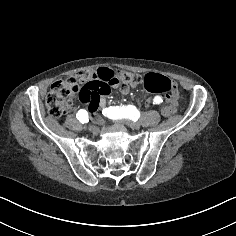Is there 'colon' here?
I'll list each match as a JSON object with an SVG mask.
<instances>
[{
    "label": "colon",
    "mask_w": 236,
    "mask_h": 236,
    "mask_svg": "<svg viewBox=\"0 0 236 236\" xmlns=\"http://www.w3.org/2000/svg\"><path fill=\"white\" fill-rule=\"evenodd\" d=\"M140 83L148 92L166 94L168 105L162 108L163 116L169 117L176 111L178 90L176 84L169 78L153 73L142 78L135 73L113 71L108 68L84 69L75 79L54 82L46 98V108L50 116L59 118L71 108L72 98L78 93V98L82 103L95 109L101 97L106 96L112 88L132 87ZM79 84H82L81 88Z\"/></svg>",
    "instance_id": "5ec220e1"
}]
</instances>
